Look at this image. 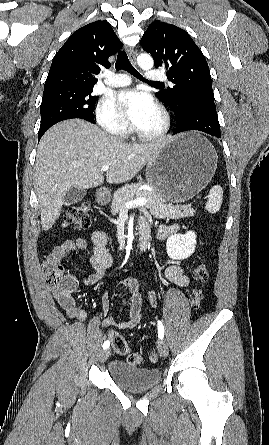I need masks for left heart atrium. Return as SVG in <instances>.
<instances>
[{"instance_id": "left-heart-atrium-1", "label": "left heart atrium", "mask_w": 269, "mask_h": 445, "mask_svg": "<svg viewBox=\"0 0 269 445\" xmlns=\"http://www.w3.org/2000/svg\"><path fill=\"white\" fill-rule=\"evenodd\" d=\"M118 100L125 107L127 117L135 126L143 123L157 110L153 98L138 89L120 92Z\"/></svg>"}]
</instances>
